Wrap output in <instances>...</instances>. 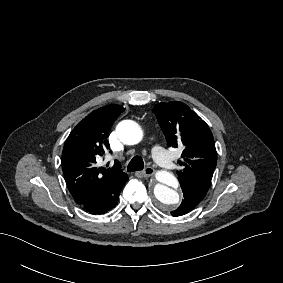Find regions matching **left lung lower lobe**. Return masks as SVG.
<instances>
[{"label": "left lung lower lobe", "instance_id": "0a47b994", "mask_svg": "<svg viewBox=\"0 0 283 283\" xmlns=\"http://www.w3.org/2000/svg\"><path fill=\"white\" fill-rule=\"evenodd\" d=\"M184 199L181 205L171 212L172 216L184 215L194 209L204 198L208 189L194 182H180Z\"/></svg>", "mask_w": 283, "mask_h": 283}]
</instances>
